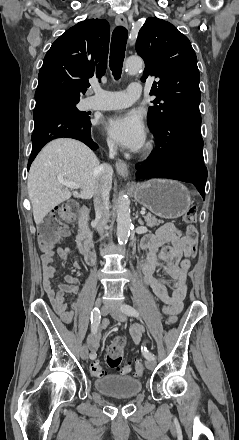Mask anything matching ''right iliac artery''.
<instances>
[{"label": "right iliac artery", "instance_id": "obj_1", "mask_svg": "<svg viewBox=\"0 0 239 440\" xmlns=\"http://www.w3.org/2000/svg\"><path fill=\"white\" fill-rule=\"evenodd\" d=\"M100 321H101L100 310L99 308L95 307L91 312V331L93 333L97 332ZM95 358H96V353H91L90 359H95Z\"/></svg>", "mask_w": 239, "mask_h": 440}]
</instances>
